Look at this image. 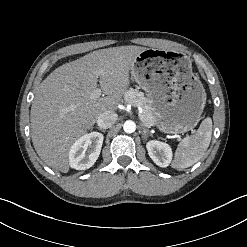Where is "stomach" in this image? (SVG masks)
Listing matches in <instances>:
<instances>
[{"label":"stomach","mask_w":247,"mask_h":247,"mask_svg":"<svg viewBox=\"0 0 247 247\" xmlns=\"http://www.w3.org/2000/svg\"><path fill=\"white\" fill-rule=\"evenodd\" d=\"M130 70L147 93L155 125L162 133L181 134L196 127L206 93L192 72L189 58L175 50L146 49L135 58Z\"/></svg>","instance_id":"obj_1"}]
</instances>
